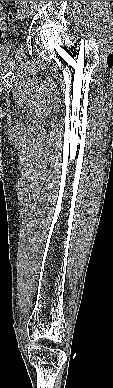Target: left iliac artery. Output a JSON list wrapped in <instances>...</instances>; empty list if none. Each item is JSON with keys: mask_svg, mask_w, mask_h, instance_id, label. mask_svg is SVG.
Returning a JSON list of instances; mask_svg holds the SVG:
<instances>
[{"mask_svg": "<svg viewBox=\"0 0 113 388\" xmlns=\"http://www.w3.org/2000/svg\"><path fill=\"white\" fill-rule=\"evenodd\" d=\"M21 5L28 11L29 13V9L27 7V3L25 1H21Z\"/></svg>", "mask_w": 113, "mask_h": 388, "instance_id": "44dca946", "label": "left iliac artery"}]
</instances>
